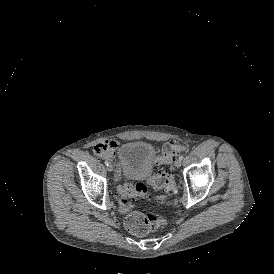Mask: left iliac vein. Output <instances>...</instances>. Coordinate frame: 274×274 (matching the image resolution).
Listing matches in <instances>:
<instances>
[{
	"instance_id": "4c4485c4",
	"label": "left iliac vein",
	"mask_w": 274,
	"mask_h": 274,
	"mask_svg": "<svg viewBox=\"0 0 274 274\" xmlns=\"http://www.w3.org/2000/svg\"><path fill=\"white\" fill-rule=\"evenodd\" d=\"M181 164H182V162L180 159H177L174 163L175 167H177V168L181 167Z\"/></svg>"
}]
</instances>
